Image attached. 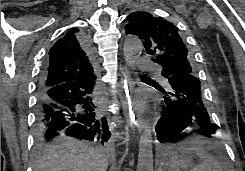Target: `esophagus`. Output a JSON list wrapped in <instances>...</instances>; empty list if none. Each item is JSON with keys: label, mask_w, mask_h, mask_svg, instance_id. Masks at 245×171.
Instances as JSON below:
<instances>
[{"label": "esophagus", "mask_w": 245, "mask_h": 171, "mask_svg": "<svg viewBox=\"0 0 245 171\" xmlns=\"http://www.w3.org/2000/svg\"><path fill=\"white\" fill-rule=\"evenodd\" d=\"M121 70L123 74V95L121 97L122 108L130 127L133 129H137L138 131H141V117L138 111L136 110L132 96L134 83L130 77V73L127 67L124 66Z\"/></svg>", "instance_id": "34e87169"}]
</instances>
